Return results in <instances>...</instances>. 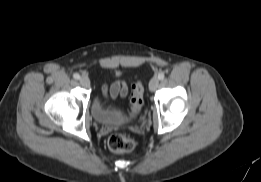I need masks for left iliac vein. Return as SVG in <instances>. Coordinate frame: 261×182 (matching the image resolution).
<instances>
[{"label":"left iliac vein","mask_w":261,"mask_h":182,"mask_svg":"<svg viewBox=\"0 0 261 182\" xmlns=\"http://www.w3.org/2000/svg\"><path fill=\"white\" fill-rule=\"evenodd\" d=\"M158 85H159V79L157 77L152 78L149 83L150 91L154 92L157 89Z\"/></svg>","instance_id":"left-iliac-vein-1"}]
</instances>
